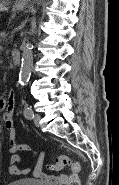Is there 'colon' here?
Masks as SVG:
<instances>
[{
	"instance_id": "colon-1",
	"label": "colon",
	"mask_w": 119,
	"mask_h": 185,
	"mask_svg": "<svg viewBox=\"0 0 119 185\" xmlns=\"http://www.w3.org/2000/svg\"><path fill=\"white\" fill-rule=\"evenodd\" d=\"M69 166L71 168L72 173L69 175L66 185H80L79 179V171H80V163L76 160H72L67 155H60L58 156L55 161L48 166L50 170H61Z\"/></svg>"
}]
</instances>
